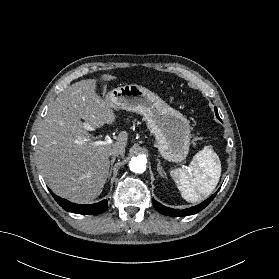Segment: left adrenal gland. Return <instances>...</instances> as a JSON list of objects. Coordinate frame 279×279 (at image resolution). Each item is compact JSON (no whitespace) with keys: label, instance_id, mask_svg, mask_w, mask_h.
Masks as SVG:
<instances>
[{"label":"left adrenal gland","instance_id":"left-adrenal-gland-1","mask_svg":"<svg viewBox=\"0 0 279 279\" xmlns=\"http://www.w3.org/2000/svg\"><path fill=\"white\" fill-rule=\"evenodd\" d=\"M158 163H157V171L158 173L162 176V177H166L165 172L163 171L162 167H161V162L160 159H157Z\"/></svg>","mask_w":279,"mask_h":279}]
</instances>
